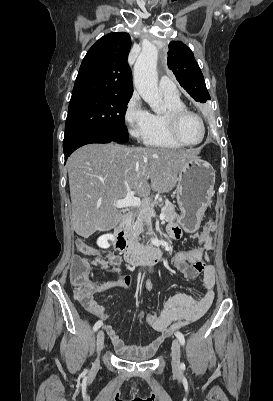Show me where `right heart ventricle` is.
<instances>
[{
    "label": "right heart ventricle",
    "instance_id": "right-heart-ventricle-1",
    "mask_svg": "<svg viewBox=\"0 0 273 401\" xmlns=\"http://www.w3.org/2000/svg\"><path fill=\"white\" fill-rule=\"evenodd\" d=\"M163 99L166 103V109L185 107L179 93L175 95H164ZM164 112L151 114L149 130L144 142L146 145L154 147L182 148V145L171 138L164 118Z\"/></svg>",
    "mask_w": 273,
    "mask_h": 401
}]
</instances>
